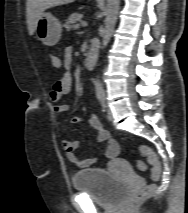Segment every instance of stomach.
Returning <instances> with one entry per match:
<instances>
[{"label": "stomach", "mask_w": 188, "mask_h": 213, "mask_svg": "<svg viewBox=\"0 0 188 213\" xmlns=\"http://www.w3.org/2000/svg\"><path fill=\"white\" fill-rule=\"evenodd\" d=\"M35 33L43 44L54 46L61 38L62 25L51 13L43 12L38 18Z\"/></svg>", "instance_id": "obj_1"}]
</instances>
